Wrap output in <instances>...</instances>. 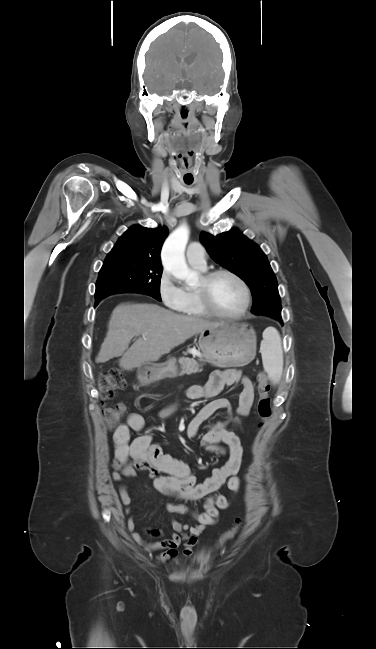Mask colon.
<instances>
[{
    "label": "colon",
    "mask_w": 376,
    "mask_h": 649,
    "mask_svg": "<svg viewBox=\"0 0 376 649\" xmlns=\"http://www.w3.org/2000/svg\"><path fill=\"white\" fill-rule=\"evenodd\" d=\"M125 380L120 374L119 371L115 369L105 370L100 374L98 387L100 398L103 402L110 400L113 397L115 390L123 389L125 387ZM257 414L261 420L260 426L262 427L265 422L270 418L272 409H271V400L269 396L270 385L268 382V375L260 371L257 374ZM126 410V406L123 403H117L112 406H103V416L105 422L109 428H114L121 416ZM242 525V521L237 519L235 521L234 527L227 531L221 538V543H224L232 539L238 532Z\"/></svg>",
    "instance_id": "obj_1"
}]
</instances>
